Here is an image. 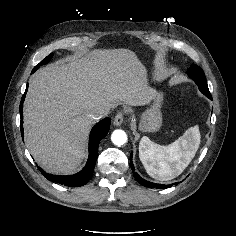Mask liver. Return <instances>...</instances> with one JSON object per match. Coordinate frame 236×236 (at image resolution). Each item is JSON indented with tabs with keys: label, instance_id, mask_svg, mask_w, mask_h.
<instances>
[{
	"label": "liver",
	"instance_id": "liver-1",
	"mask_svg": "<svg viewBox=\"0 0 236 236\" xmlns=\"http://www.w3.org/2000/svg\"><path fill=\"white\" fill-rule=\"evenodd\" d=\"M147 72L128 49L93 50L51 64L30 79L24 104L27 148L51 173H70L84 156L95 106L152 100Z\"/></svg>",
	"mask_w": 236,
	"mask_h": 236
}]
</instances>
